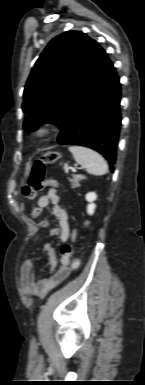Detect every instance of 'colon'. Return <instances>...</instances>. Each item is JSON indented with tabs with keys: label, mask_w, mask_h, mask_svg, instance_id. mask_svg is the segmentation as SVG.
<instances>
[{
	"label": "colon",
	"mask_w": 145,
	"mask_h": 385,
	"mask_svg": "<svg viewBox=\"0 0 145 385\" xmlns=\"http://www.w3.org/2000/svg\"><path fill=\"white\" fill-rule=\"evenodd\" d=\"M60 159V154L55 151L46 152L43 156L36 160L28 170L26 179L22 185V192L25 196L29 198H34L38 191L42 190L44 186L48 184L45 180V171L46 166L58 162ZM34 214L37 216L40 214L39 210H35ZM89 222L86 220L84 227H88ZM75 240V237L73 238ZM73 246L65 245L61 249V255L65 258H70L72 266L74 268L78 267V260L72 257Z\"/></svg>",
	"instance_id": "1"
}]
</instances>
